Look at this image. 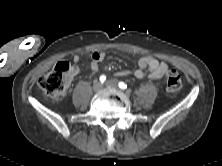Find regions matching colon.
<instances>
[{
	"label": "colon",
	"mask_w": 222,
	"mask_h": 166,
	"mask_svg": "<svg viewBox=\"0 0 222 166\" xmlns=\"http://www.w3.org/2000/svg\"><path fill=\"white\" fill-rule=\"evenodd\" d=\"M74 72V67L66 62H59L54 68L43 75L38 85L40 89L51 99L61 100L66 94ZM183 82L179 73L170 69L166 72V88L169 92L175 93L182 89Z\"/></svg>",
	"instance_id": "colon-1"
}]
</instances>
